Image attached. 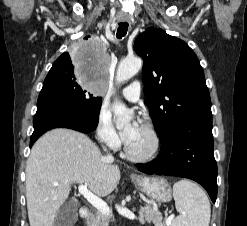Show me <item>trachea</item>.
Listing matches in <instances>:
<instances>
[{
	"mask_svg": "<svg viewBox=\"0 0 247 226\" xmlns=\"http://www.w3.org/2000/svg\"><path fill=\"white\" fill-rule=\"evenodd\" d=\"M128 31V23L123 22V23H119V27L117 29V38L121 39L122 37H124L127 34Z\"/></svg>",
	"mask_w": 247,
	"mask_h": 226,
	"instance_id": "1",
	"label": "trachea"
}]
</instances>
